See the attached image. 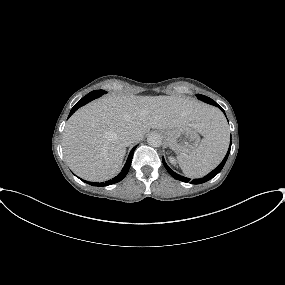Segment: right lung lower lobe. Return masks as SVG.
Here are the masks:
<instances>
[{"mask_svg": "<svg viewBox=\"0 0 285 285\" xmlns=\"http://www.w3.org/2000/svg\"><path fill=\"white\" fill-rule=\"evenodd\" d=\"M100 97L99 94H96V95H86L85 97H83L81 100H79L75 105L74 107L71 109L70 111V114H69V117L78 109L80 108L81 106L87 104L88 102H90L91 100L95 99V98H98ZM68 117V118H69ZM136 146L130 151L129 153V156L127 158V161L121 171V173L116 176L115 178L111 179V180H108L104 183H92V182H87V181H84L92 186H108V185H111V184H115L119 181H121L126 175H127V172L129 171V168L131 166V161H132V157H133V153H134V150H135Z\"/></svg>", "mask_w": 285, "mask_h": 285, "instance_id": "1", "label": "right lung lower lobe"}]
</instances>
